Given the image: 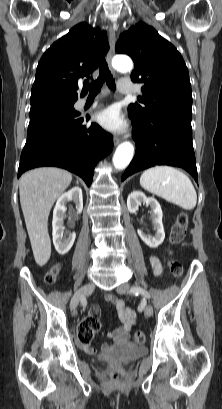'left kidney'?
I'll return each mask as SVG.
<instances>
[{
  "label": "left kidney",
  "mask_w": 222,
  "mask_h": 409,
  "mask_svg": "<svg viewBox=\"0 0 222 409\" xmlns=\"http://www.w3.org/2000/svg\"><path fill=\"white\" fill-rule=\"evenodd\" d=\"M142 203H146L151 208V218L156 230L155 236H150L142 230H137L142 241L151 248H156L165 238L164 227L162 223V209L159 202L153 197H146L143 192L133 191L127 198V207L130 213L135 214Z\"/></svg>",
  "instance_id": "5707ae66"
}]
</instances>
